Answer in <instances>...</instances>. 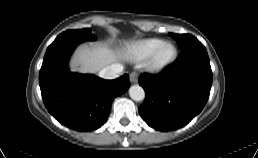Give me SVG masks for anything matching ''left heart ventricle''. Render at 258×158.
<instances>
[{"label": "left heart ventricle", "mask_w": 258, "mask_h": 158, "mask_svg": "<svg viewBox=\"0 0 258 158\" xmlns=\"http://www.w3.org/2000/svg\"><path fill=\"white\" fill-rule=\"evenodd\" d=\"M173 54V48L170 46L165 47L161 54H160V60H164L169 58Z\"/></svg>", "instance_id": "b2bd125f"}]
</instances>
